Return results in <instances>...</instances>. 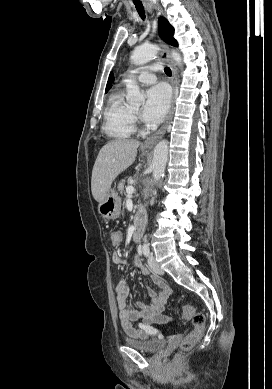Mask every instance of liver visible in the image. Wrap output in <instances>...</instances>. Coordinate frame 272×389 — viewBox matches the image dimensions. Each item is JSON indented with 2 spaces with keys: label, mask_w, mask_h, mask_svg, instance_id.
Instances as JSON below:
<instances>
[{
  "label": "liver",
  "mask_w": 272,
  "mask_h": 389,
  "mask_svg": "<svg viewBox=\"0 0 272 389\" xmlns=\"http://www.w3.org/2000/svg\"><path fill=\"white\" fill-rule=\"evenodd\" d=\"M140 142L131 139L112 140L98 153L92 170L91 191L102 202L116 177L133 164Z\"/></svg>",
  "instance_id": "obj_1"
}]
</instances>
